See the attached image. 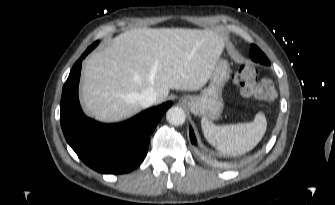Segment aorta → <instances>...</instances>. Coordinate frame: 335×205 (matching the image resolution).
Segmentation results:
<instances>
[{
	"label": "aorta",
	"mask_w": 335,
	"mask_h": 205,
	"mask_svg": "<svg viewBox=\"0 0 335 205\" xmlns=\"http://www.w3.org/2000/svg\"><path fill=\"white\" fill-rule=\"evenodd\" d=\"M167 121L175 126L182 125L186 120V114L180 107H171L166 113Z\"/></svg>",
	"instance_id": "1"
}]
</instances>
